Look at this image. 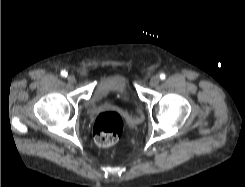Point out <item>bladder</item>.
<instances>
[{"label":"bladder","mask_w":245,"mask_h":187,"mask_svg":"<svg viewBox=\"0 0 245 187\" xmlns=\"http://www.w3.org/2000/svg\"><path fill=\"white\" fill-rule=\"evenodd\" d=\"M111 92L128 93L129 87L125 79L121 75L106 77L99 82L91 96L90 103L98 106L105 101Z\"/></svg>","instance_id":"31cf9c89"}]
</instances>
